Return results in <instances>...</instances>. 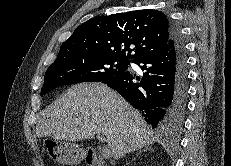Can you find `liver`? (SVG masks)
<instances>
[{
	"mask_svg": "<svg viewBox=\"0 0 231 166\" xmlns=\"http://www.w3.org/2000/svg\"><path fill=\"white\" fill-rule=\"evenodd\" d=\"M106 136L114 159L157 141L140 112L102 83L69 88L40 115L36 134L55 140L81 141Z\"/></svg>",
	"mask_w": 231,
	"mask_h": 166,
	"instance_id": "6515ba94",
	"label": "liver"
}]
</instances>
